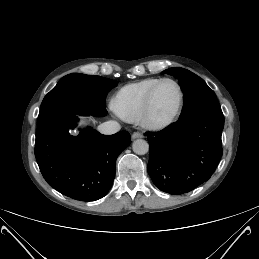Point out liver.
<instances>
[{"mask_svg":"<svg viewBox=\"0 0 259 259\" xmlns=\"http://www.w3.org/2000/svg\"><path fill=\"white\" fill-rule=\"evenodd\" d=\"M86 121L84 120V118H82L81 119V122H80V124L79 125H81V124H84ZM74 134H76V132L74 131Z\"/></svg>","mask_w":259,"mask_h":259,"instance_id":"6515ba94","label":"liver"}]
</instances>
